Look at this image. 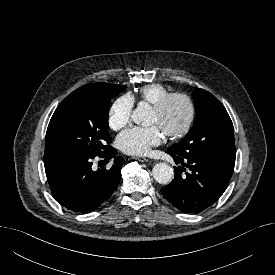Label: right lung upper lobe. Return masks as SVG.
Returning a JSON list of instances; mask_svg holds the SVG:
<instances>
[{
	"label": "right lung upper lobe",
	"mask_w": 275,
	"mask_h": 275,
	"mask_svg": "<svg viewBox=\"0 0 275 275\" xmlns=\"http://www.w3.org/2000/svg\"><path fill=\"white\" fill-rule=\"evenodd\" d=\"M108 84H110V83H89V84H86V85L80 87L79 89L88 88V87H100V86H105V85H108Z\"/></svg>",
	"instance_id": "1"
}]
</instances>
